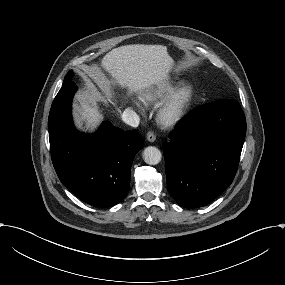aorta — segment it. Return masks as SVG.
<instances>
[{"mask_svg":"<svg viewBox=\"0 0 285 285\" xmlns=\"http://www.w3.org/2000/svg\"><path fill=\"white\" fill-rule=\"evenodd\" d=\"M161 152L158 148L148 146L143 152L144 161L149 165H156L161 161Z\"/></svg>","mask_w":285,"mask_h":285,"instance_id":"obj_1","label":"aorta"}]
</instances>
